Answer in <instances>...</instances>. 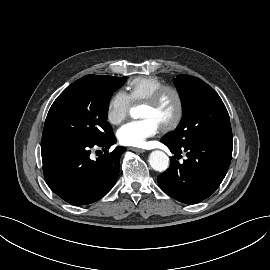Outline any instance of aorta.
<instances>
[{
	"label": "aorta",
	"instance_id": "762f6f07",
	"mask_svg": "<svg viewBox=\"0 0 270 270\" xmlns=\"http://www.w3.org/2000/svg\"><path fill=\"white\" fill-rule=\"evenodd\" d=\"M130 115L132 118H138L139 108L132 107ZM149 164L155 171L163 172L169 167V158L163 151L155 150L149 155Z\"/></svg>",
	"mask_w": 270,
	"mask_h": 270
}]
</instances>
